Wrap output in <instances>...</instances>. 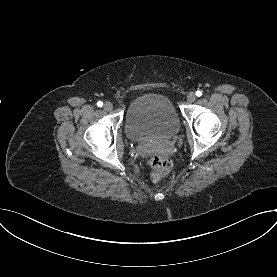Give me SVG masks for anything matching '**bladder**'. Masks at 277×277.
Returning <instances> with one entry per match:
<instances>
[{
	"label": "bladder",
	"instance_id": "bladder-1",
	"mask_svg": "<svg viewBox=\"0 0 277 277\" xmlns=\"http://www.w3.org/2000/svg\"><path fill=\"white\" fill-rule=\"evenodd\" d=\"M180 120L170 99L162 94L135 98L125 115V131L133 141L170 139L178 134Z\"/></svg>",
	"mask_w": 277,
	"mask_h": 277
}]
</instances>
